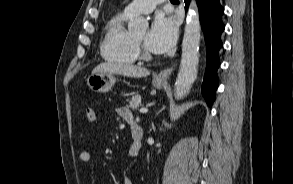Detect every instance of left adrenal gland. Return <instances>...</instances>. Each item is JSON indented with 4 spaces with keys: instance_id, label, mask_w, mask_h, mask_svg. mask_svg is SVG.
Masks as SVG:
<instances>
[{
    "instance_id": "a2214340",
    "label": "left adrenal gland",
    "mask_w": 293,
    "mask_h": 184,
    "mask_svg": "<svg viewBox=\"0 0 293 184\" xmlns=\"http://www.w3.org/2000/svg\"><path fill=\"white\" fill-rule=\"evenodd\" d=\"M152 129H155L154 123H152Z\"/></svg>"
}]
</instances>
